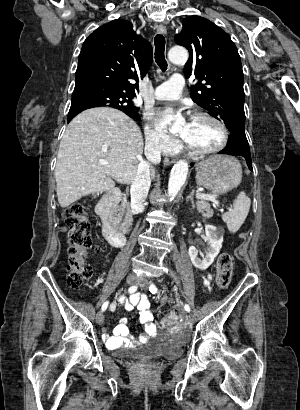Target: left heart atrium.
Wrapping results in <instances>:
<instances>
[{
    "instance_id": "39dd6f15",
    "label": "left heart atrium",
    "mask_w": 300,
    "mask_h": 410,
    "mask_svg": "<svg viewBox=\"0 0 300 410\" xmlns=\"http://www.w3.org/2000/svg\"><path fill=\"white\" fill-rule=\"evenodd\" d=\"M173 113V109L172 108H166L161 116L158 118V123L161 126H165L167 124L168 121V117ZM189 123V122H188Z\"/></svg>"
}]
</instances>
